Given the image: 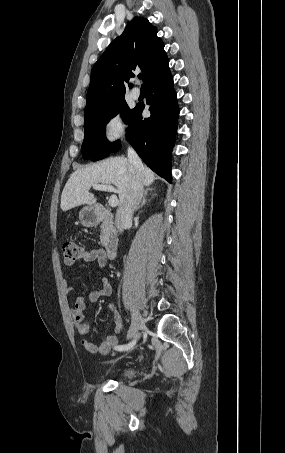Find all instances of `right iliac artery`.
<instances>
[{"label": "right iliac artery", "instance_id": "82829eb1", "mask_svg": "<svg viewBox=\"0 0 285 453\" xmlns=\"http://www.w3.org/2000/svg\"><path fill=\"white\" fill-rule=\"evenodd\" d=\"M135 344H136V340H133V341L130 342L129 344L117 346L116 349H117V350H120V351H122V350H129V349H131Z\"/></svg>", "mask_w": 285, "mask_h": 453}]
</instances>
